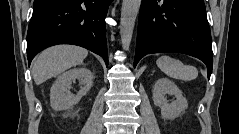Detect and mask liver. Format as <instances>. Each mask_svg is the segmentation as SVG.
<instances>
[{"label":"liver","mask_w":239,"mask_h":134,"mask_svg":"<svg viewBox=\"0 0 239 134\" xmlns=\"http://www.w3.org/2000/svg\"><path fill=\"white\" fill-rule=\"evenodd\" d=\"M88 50L79 46L58 45L42 51L33 61L32 74L37 85L69 68L82 64Z\"/></svg>","instance_id":"obj_1"}]
</instances>
